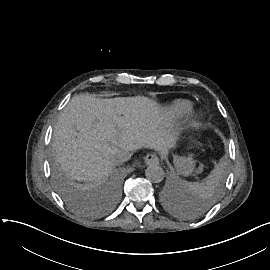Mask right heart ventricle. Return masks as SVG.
<instances>
[{
    "instance_id": "1",
    "label": "right heart ventricle",
    "mask_w": 270,
    "mask_h": 270,
    "mask_svg": "<svg viewBox=\"0 0 270 270\" xmlns=\"http://www.w3.org/2000/svg\"><path fill=\"white\" fill-rule=\"evenodd\" d=\"M192 109V103L187 100H174L167 108V115L174 119H181Z\"/></svg>"
}]
</instances>
